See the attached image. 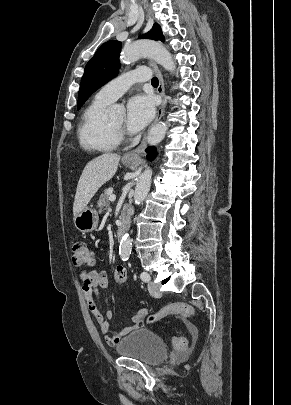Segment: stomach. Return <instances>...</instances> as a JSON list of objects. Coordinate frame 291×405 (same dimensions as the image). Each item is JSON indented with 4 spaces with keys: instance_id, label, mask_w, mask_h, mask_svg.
<instances>
[{
    "instance_id": "0dacf381",
    "label": "stomach",
    "mask_w": 291,
    "mask_h": 405,
    "mask_svg": "<svg viewBox=\"0 0 291 405\" xmlns=\"http://www.w3.org/2000/svg\"><path fill=\"white\" fill-rule=\"evenodd\" d=\"M132 161H124L130 164ZM99 216L95 209L86 207L74 218L75 227L81 232H92L98 226Z\"/></svg>"
}]
</instances>
